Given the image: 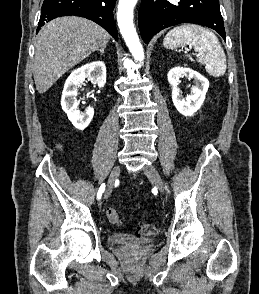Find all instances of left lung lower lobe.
<instances>
[{
  "instance_id": "0a47b994",
  "label": "left lung lower lobe",
  "mask_w": 259,
  "mask_h": 294,
  "mask_svg": "<svg viewBox=\"0 0 259 294\" xmlns=\"http://www.w3.org/2000/svg\"><path fill=\"white\" fill-rule=\"evenodd\" d=\"M180 23L207 26L226 41L219 0H142L139 29L145 43L160 30Z\"/></svg>"
}]
</instances>
